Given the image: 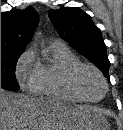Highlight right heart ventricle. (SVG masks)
Here are the masks:
<instances>
[{
	"label": "right heart ventricle",
	"mask_w": 123,
	"mask_h": 130,
	"mask_svg": "<svg viewBox=\"0 0 123 130\" xmlns=\"http://www.w3.org/2000/svg\"><path fill=\"white\" fill-rule=\"evenodd\" d=\"M46 56V59L37 61V75L31 84V91L60 102H81L67 83L68 70L82 63L79 57L64 43H51L46 48Z\"/></svg>",
	"instance_id": "1"
}]
</instances>
